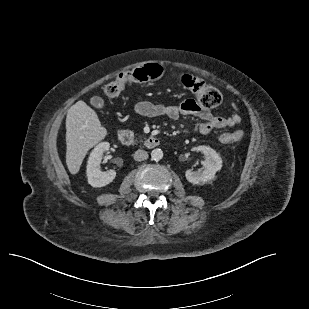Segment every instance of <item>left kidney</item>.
<instances>
[{
    "label": "left kidney",
    "mask_w": 309,
    "mask_h": 309,
    "mask_svg": "<svg viewBox=\"0 0 309 309\" xmlns=\"http://www.w3.org/2000/svg\"><path fill=\"white\" fill-rule=\"evenodd\" d=\"M193 150L201 152L205 156V161L202 162L203 171L193 172L187 170L185 173L186 179L196 185H203L215 177L217 171L222 168V159L218 153L209 146L194 147Z\"/></svg>",
    "instance_id": "5707ae66"
}]
</instances>
